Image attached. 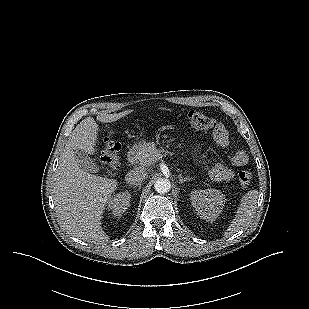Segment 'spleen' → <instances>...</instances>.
I'll list each match as a JSON object with an SVG mask.
<instances>
[{
  "mask_svg": "<svg viewBox=\"0 0 309 309\" xmlns=\"http://www.w3.org/2000/svg\"><path fill=\"white\" fill-rule=\"evenodd\" d=\"M259 192L257 190L248 191L241 199L235 218L229 225L225 235H231L241 230L248 222L256 209Z\"/></svg>",
  "mask_w": 309,
  "mask_h": 309,
  "instance_id": "obj_1",
  "label": "spleen"
}]
</instances>
